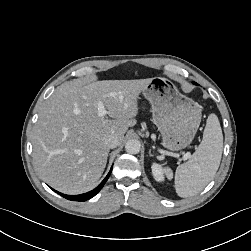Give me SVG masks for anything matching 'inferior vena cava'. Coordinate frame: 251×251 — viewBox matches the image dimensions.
I'll use <instances>...</instances> for the list:
<instances>
[{"instance_id": "inferior-vena-cava-1", "label": "inferior vena cava", "mask_w": 251, "mask_h": 251, "mask_svg": "<svg viewBox=\"0 0 251 251\" xmlns=\"http://www.w3.org/2000/svg\"><path fill=\"white\" fill-rule=\"evenodd\" d=\"M104 143L108 148L113 149L116 148L120 142L119 138L116 135H109L105 138Z\"/></svg>"}]
</instances>
